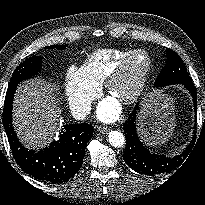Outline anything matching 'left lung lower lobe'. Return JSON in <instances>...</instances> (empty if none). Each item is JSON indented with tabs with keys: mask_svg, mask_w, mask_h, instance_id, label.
<instances>
[{
	"mask_svg": "<svg viewBox=\"0 0 205 205\" xmlns=\"http://www.w3.org/2000/svg\"><path fill=\"white\" fill-rule=\"evenodd\" d=\"M182 85L191 93L193 97L194 110L196 111V88L193 82H187ZM137 109L138 107L131 113L128 121L123 125L126 147L122 157L125 163L134 171L147 176H157L176 169L186 157V152H188L191 144L181 155H177L174 158H168L164 155L151 153L139 140L136 132L135 121L137 117Z\"/></svg>",
	"mask_w": 205,
	"mask_h": 205,
	"instance_id": "obj_1",
	"label": "left lung lower lobe"
}]
</instances>
